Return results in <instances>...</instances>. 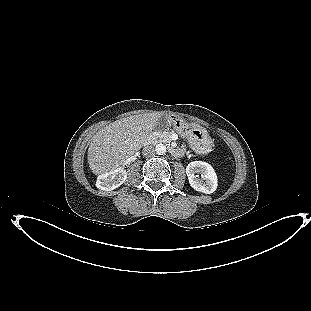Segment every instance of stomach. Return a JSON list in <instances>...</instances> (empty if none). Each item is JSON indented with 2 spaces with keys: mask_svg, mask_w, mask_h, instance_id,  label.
I'll return each instance as SVG.
<instances>
[{
  "mask_svg": "<svg viewBox=\"0 0 311 311\" xmlns=\"http://www.w3.org/2000/svg\"><path fill=\"white\" fill-rule=\"evenodd\" d=\"M168 125L173 126L181 135L188 137L190 147L195 153L206 155L211 152L213 141L206 131L193 128L178 117H168V122L165 126Z\"/></svg>",
  "mask_w": 311,
  "mask_h": 311,
  "instance_id": "stomach-1",
  "label": "stomach"
}]
</instances>
